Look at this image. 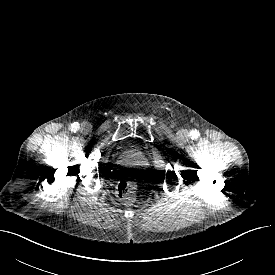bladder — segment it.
Segmentation results:
<instances>
[{
	"label": "bladder",
	"instance_id": "obj_1",
	"mask_svg": "<svg viewBox=\"0 0 275 275\" xmlns=\"http://www.w3.org/2000/svg\"><path fill=\"white\" fill-rule=\"evenodd\" d=\"M155 159L152 151L138 138L127 136L119 139L108 151L105 166L108 173L118 179L139 180L153 170Z\"/></svg>",
	"mask_w": 275,
	"mask_h": 275
}]
</instances>
